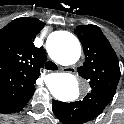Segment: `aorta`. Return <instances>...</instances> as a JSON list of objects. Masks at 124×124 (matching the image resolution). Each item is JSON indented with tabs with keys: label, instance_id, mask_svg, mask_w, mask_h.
<instances>
[{
	"label": "aorta",
	"instance_id": "obj_1",
	"mask_svg": "<svg viewBox=\"0 0 124 124\" xmlns=\"http://www.w3.org/2000/svg\"><path fill=\"white\" fill-rule=\"evenodd\" d=\"M49 55L62 65L74 64L81 55L79 40L70 32L61 31L49 44ZM49 91L59 101L70 102L79 97L77 79L69 73H52L46 80Z\"/></svg>",
	"mask_w": 124,
	"mask_h": 124
}]
</instances>
